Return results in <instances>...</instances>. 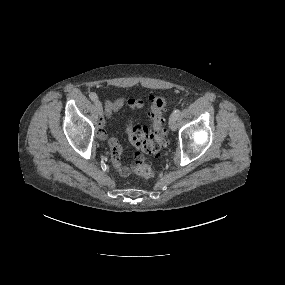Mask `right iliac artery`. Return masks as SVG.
Segmentation results:
<instances>
[{
    "label": "right iliac artery",
    "mask_w": 285,
    "mask_h": 285,
    "mask_svg": "<svg viewBox=\"0 0 285 285\" xmlns=\"http://www.w3.org/2000/svg\"><path fill=\"white\" fill-rule=\"evenodd\" d=\"M89 97H90V99L92 100V101H95V100H97V95H96V93H94V92H92V93H90L89 94Z\"/></svg>",
    "instance_id": "82829eb1"
}]
</instances>
